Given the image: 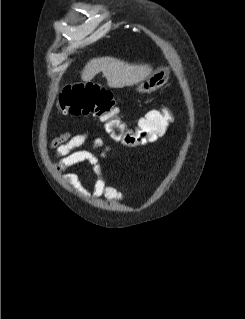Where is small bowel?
Masks as SVG:
<instances>
[{
  "label": "small bowel",
  "mask_w": 245,
  "mask_h": 319,
  "mask_svg": "<svg viewBox=\"0 0 245 319\" xmlns=\"http://www.w3.org/2000/svg\"><path fill=\"white\" fill-rule=\"evenodd\" d=\"M89 133L82 132L72 135L69 132L54 138L51 142V148L55 149L56 157L59 161L56 163V169L63 172L66 169L82 163H88L93 166L96 174V181L92 190H86L80 184L78 176L75 173H66L63 175L65 181L76 187L78 193L85 198L104 196L111 201H119L123 199V194L115 187L107 185L104 173L100 166L99 157L91 151L80 149L88 140ZM103 139L97 137L93 141V147H102ZM110 151L109 147H105L101 153V157H105Z\"/></svg>",
  "instance_id": "obj_1"
}]
</instances>
